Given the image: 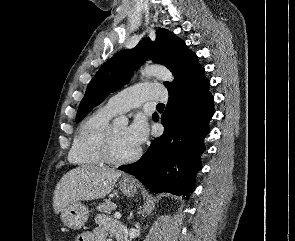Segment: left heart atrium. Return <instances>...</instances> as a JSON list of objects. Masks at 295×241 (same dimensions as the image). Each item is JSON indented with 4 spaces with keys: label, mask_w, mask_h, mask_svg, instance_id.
Returning <instances> with one entry per match:
<instances>
[{
    "label": "left heart atrium",
    "mask_w": 295,
    "mask_h": 241,
    "mask_svg": "<svg viewBox=\"0 0 295 241\" xmlns=\"http://www.w3.org/2000/svg\"><path fill=\"white\" fill-rule=\"evenodd\" d=\"M148 133V123L143 117L135 118L131 125L127 127V136L129 140L138 148L147 139Z\"/></svg>",
    "instance_id": "39dd6f15"
}]
</instances>
